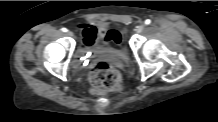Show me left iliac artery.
<instances>
[{"mask_svg":"<svg viewBox=\"0 0 218 122\" xmlns=\"http://www.w3.org/2000/svg\"><path fill=\"white\" fill-rule=\"evenodd\" d=\"M151 23V20L150 19H147L146 21H145V24L146 25H149Z\"/></svg>","mask_w":218,"mask_h":122,"instance_id":"44dca946","label":"left iliac artery"}]
</instances>
